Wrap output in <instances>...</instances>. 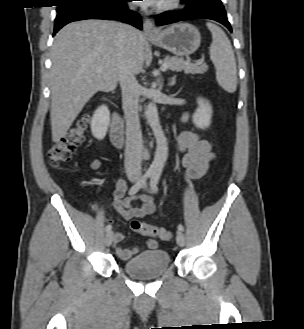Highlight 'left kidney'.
Wrapping results in <instances>:
<instances>
[{"instance_id":"1","label":"left kidney","mask_w":304,"mask_h":329,"mask_svg":"<svg viewBox=\"0 0 304 329\" xmlns=\"http://www.w3.org/2000/svg\"><path fill=\"white\" fill-rule=\"evenodd\" d=\"M198 108L193 114V123L197 128L205 129L211 124L212 108L208 101L202 98L197 99Z\"/></svg>"}]
</instances>
